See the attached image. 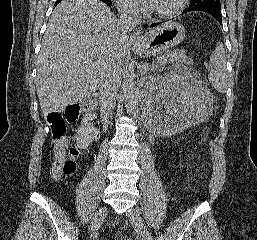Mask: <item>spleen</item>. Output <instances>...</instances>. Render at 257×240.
I'll return each instance as SVG.
<instances>
[{"label": "spleen", "mask_w": 257, "mask_h": 240, "mask_svg": "<svg viewBox=\"0 0 257 240\" xmlns=\"http://www.w3.org/2000/svg\"><path fill=\"white\" fill-rule=\"evenodd\" d=\"M208 79L219 93H225L228 87V73L226 71V57L222 43H218L209 60Z\"/></svg>", "instance_id": "spleen-1"}]
</instances>
